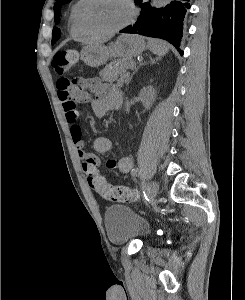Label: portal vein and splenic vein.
<instances>
[{"label": "portal vein and splenic vein", "mask_w": 245, "mask_h": 300, "mask_svg": "<svg viewBox=\"0 0 245 300\" xmlns=\"http://www.w3.org/2000/svg\"><path fill=\"white\" fill-rule=\"evenodd\" d=\"M134 66H135V63L132 62V63L130 64V67L132 68V67H134Z\"/></svg>", "instance_id": "portal-vein-and-splenic-vein-1"}]
</instances>
